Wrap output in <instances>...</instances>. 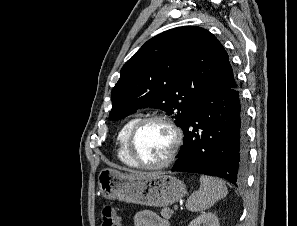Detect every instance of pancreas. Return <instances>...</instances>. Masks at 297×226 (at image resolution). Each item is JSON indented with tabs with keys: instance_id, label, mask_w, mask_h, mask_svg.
Instances as JSON below:
<instances>
[{
	"instance_id": "pancreas-1",
	"label": "pancreas",
	"mask_w": 297,
	"mask_h": 226,
	"mask_svg": "<svg viewBox=\"0 0 297 226\" xmlns=\"http://www.w3.org/2000/svg\"><path fill=\"white\" fill-rule=\"evenodd\" d=\"M160 213L163 218L170 219V217L173 214V211L169 208H163Z\"/></svg>"
}]
</instances>
